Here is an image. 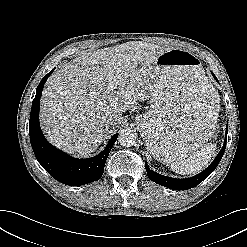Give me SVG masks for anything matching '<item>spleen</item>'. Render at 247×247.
Instances as JSON below:
<instances>
[{"label":"spleen","instance_id":"obj_1","mask_svg":"<svg viewBox=\"0 0 247 247\" xmlns=\"http://www.w3.org/2000/svg\"><path fill=\"white\" fill-rule=\"evenodd\" d=\"M214 127L213 130H215ZM212 135H214V131L211 132V136ZM216 148V144L207 143L201 147L200 151L194 152L188 159L173 162L170 167L174 172L181 175H189L200 172L208 166L209 161L215 154Z\"/></svg>","mask_w":247,"mask_h":247}]
</instances>
